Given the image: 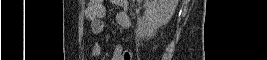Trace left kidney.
<instances>
[{
  "label": "left kidney",
  "instance_id": "5707ae66",
  "mask_svg": "<svg viewBox=\"0 0 267 60\" xmlns=\"http://www.w3.org/2000/svg\"><path fill=\"white\" fill-rule=\"evenodd\" d=\"M177 4L178 0H151L145 5L144 18L157 29L170 21Z\"/></svg>",
  "mask_w": 267,
  "mask_h": 60
}]
</instances>
